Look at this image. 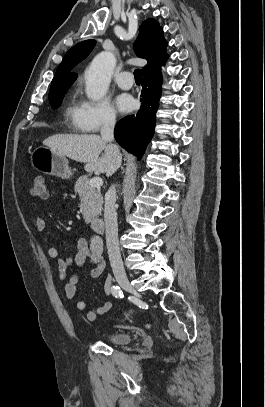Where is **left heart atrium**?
Segmentation results:
<instances>
[{
    "label": "left heart atrium",
    "instance_id": "1",
    "mask_svg": "<svg viewBox=\"0 0 265 407\" xmlns=\"http://www.w3.org/2000/svg\"><path fill=\"white\" fill-rule=\"evenodd\" d=\"M115 103H116L118 110L122 113L130 112L135 107L134 99L127 94L118 95L116 97Z\"/></svg>",
    "mask_w": 265,
    "mask_h": 407
}]
</instances>
